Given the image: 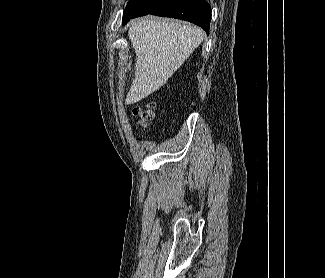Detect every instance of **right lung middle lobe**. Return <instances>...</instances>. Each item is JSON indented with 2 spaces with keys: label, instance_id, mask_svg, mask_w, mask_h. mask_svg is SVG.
Instances as JSON below:
<instances>
[{
  "label": "right lung middle lobe",
  "instance_id": "1",
  "mask_svg": "<svg viewBox=\"0 0 325 278\" xmlns=\"http://www.w3.org/2000/svg\"><path fill=\"white\" fill-rule=\"evenodd\" d=\"M134 2L135 0H129L127 6L123 12V18L129 16L134 10Z\"/></svg>",
  "mask_w": 325,
  "mask_h": 278
}]
</instances>
